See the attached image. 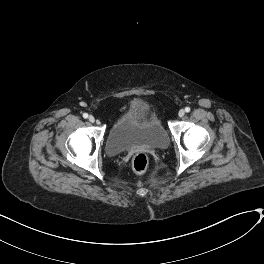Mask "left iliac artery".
Masks as SVG:
<instances>
[{
	"label": "left iliac artery",
	"instance_id": "left-iliac-artery-1",
	"mask_svg": "<svg viewBox=\"0 0 264 264\" xmlns=\"http://www.w3.org/2000/svg\"><path fill=\"white\" fill-rule=\"evenodd\" d=\"M185 111H186V112H189V111H190V108H189V107H186V108H185Z\"/></svg>",
	"mask_w": 264,
	"mask_h": 264
}]
</instances>
